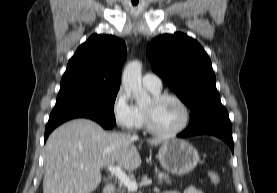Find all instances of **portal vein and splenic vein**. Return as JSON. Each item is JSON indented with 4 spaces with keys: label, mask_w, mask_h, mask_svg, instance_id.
I'll return each mask as SVG.
<instances>
[{
    "label": "portal vein and splenic vein",
    "mask_w": 277,
    "mask_h": 193,
    "mask_svg": "<svg viewBox=\"0 0 277 193\" xmlns=\"http://www.w3.org/2000/svg\"><path fill=\"white\" fill-rule=\"evenodd\" d=\"M108 171L115 175L119 181L126 186V188L131 191L135 192L138 189V186L150 185L152 184V179L145 178L138 184L134 179L130 178L119 166H108Z\"/></svg>",
    "instance_id": "portal-vein-and-splenic-vein-1"
}]
</instances>
